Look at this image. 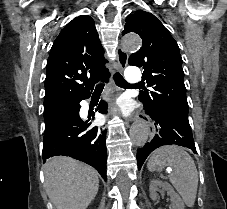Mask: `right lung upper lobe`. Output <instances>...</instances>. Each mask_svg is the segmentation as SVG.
Here are the masks:
<instances>
[{
  "mask_svg": "<svg viewBox=\"0 0 227 209\" xmlns=\"http://www.w3.org/2000/svg\"><path fill=\"white\" fill-rule=\"evenodd\" d=\"M107 60L93 19L81 15L60 32L47 61L44 107L73 103L108 77Z\"/></svg>",
  "mask_w": 227,
  "mask_h": 209,
  "instance_id": "obj_1",
  "label": "right lung upper lobe"
}]
</instances>
